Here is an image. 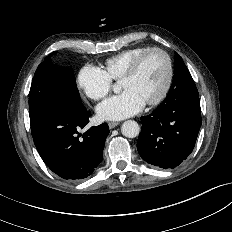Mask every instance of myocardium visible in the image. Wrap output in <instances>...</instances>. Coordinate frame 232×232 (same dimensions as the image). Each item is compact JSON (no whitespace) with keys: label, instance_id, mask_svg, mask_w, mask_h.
Returning a JSON list of instances; mask_svg holds the SVG:
<instances>
[{"label":"myocardium","instance_id":"f54148a6","mask_svg":"<svg viewBox=\"0 0 232 232\" xmlns=\"http://www.w3.org/2000/svg\"><path fill=\"white\" fill-rule=\"evenodd\" d=\"M161 53L165 59H166V63H167V76H166V81L165 84L161 90V92L153 99L147 101L145 104L149 105V106H154L159 104L160 102H162L165 97L167 96V94L169 93V90L172 86V82H173V77H174V68H173V62L171 59V56L169 55V53L167 51H165L162 48L159 47H152L147 49L146 51L142 52L141 54H139L128 66V68L126 69V71L124 72V74L122 75V77L120 78V82L128 80L130 78H132L138 71L140 65L142 64V62L144 61V59L152 54V53Z\"/></svg>","mask_w":232,"mask_h":232}]
</instances>
